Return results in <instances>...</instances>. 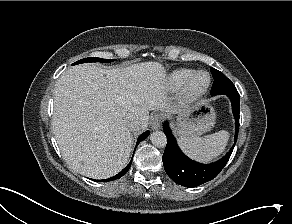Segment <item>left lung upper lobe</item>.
Returning a JSON list of instances; mask_svg holds the SVG:
<instances>
[{
  "label": "left lung upper lobe",
  "mask_w": 292,
  "mask_h": 224,
  "mask_svg": "<svg viewBox=\"0 0 292 224\" xmlns=\"http://www.w3.org/2000/svg\"><path fill=\"white\" fill-rule=\"evenodd\" d=\"M212 76L214 78V83L212 86L211 94L221 95L225 91L235 88L234 84L228 79L222 72L216 70L215 68H210Z\"/></svg>",
  "instance_id": "obj_1"
}]
</instances>
